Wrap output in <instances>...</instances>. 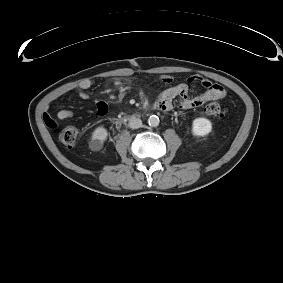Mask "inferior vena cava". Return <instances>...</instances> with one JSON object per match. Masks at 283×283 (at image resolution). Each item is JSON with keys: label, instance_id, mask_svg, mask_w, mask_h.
Masks as SVG:
<instances>
[{"label": "inferior vena cava", "instance_id": "obj_1", "mask_svg": "<svg viewBox=\"0 0 283 283\" xmlns=\"http://www.w3.org/2000/svg\"><path fill=\"white\" fill-rule=\"evenodd\" d=\"M129 127L132 129H138L142 126V120L140 118L132 117L129 120Z\"/></svg>", "mask_w": 283, "mask_h": 283}]
</instances>
